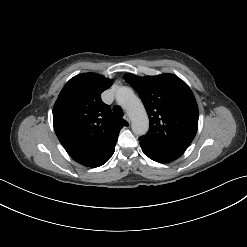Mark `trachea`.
<instances>
[{"label": "trachea", "mask_w": 247, "mask_h": 247, "mask_svg": "<svg viewBox=\"0 0 247 247\" xmlns=\"http://www.w3.org/2000/svg\"><path fill=\"white\" fill-rule=\"evenodd\" d=\"M113 113L117 116V117H123L124 113L123 110L120 106L115 105L113 107Z\"/></svg>", "instance_id": "1"}]
</instances>
